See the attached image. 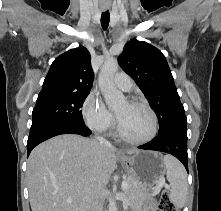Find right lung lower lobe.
<instances>
[{
  "label": "right lung lower lobe",
  "instance_id": "obj_1",
  "mask_svg": "<svg viewBox=\"0 0 221 211\" xmlns=\"http://www.w3.org/2000/svg\"><path fill=\"white\" fill-rule=\"evenodd\" d=\"M61 134H79L88 136L91 131L85 125L71 124V123H51L39 126L30 130L27 141V156L34 147L41 142Z\"/></svg>",
  "mask_w": 221,
  "mask_h": 211
}]
</instances>
